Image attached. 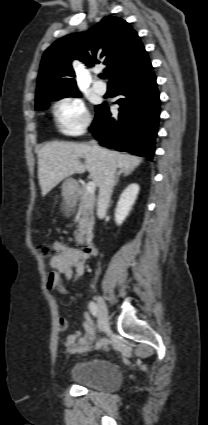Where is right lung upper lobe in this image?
<instances>
[{"label":"right lung upper lobe","instance_id":"1","mask_svg":"<svg viewBox=\"0 0 208 425\" xmlns=\"http://www.w3.org/2000/svg\"><path fill=\"white\" fill-rule=\"evenodd\" d=\"M146 56L137 32L129 23L118 17H105L85 32L57 40L45 51L37 80L36 103L51 93L78 91L73 60H80L88 67L107 65L104 72L112 81Z\"/></svg>","mask_w":208,"mask_h":425}]
</instances>
